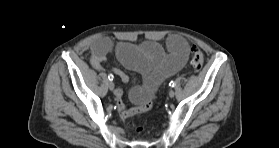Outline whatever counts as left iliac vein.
I'll use <instances>...</instances> for the list:
<instances>
[{
	"label": "left iliac vein",
	"instance_id": "1",
	"mask_svg": "<svg viewBox=\"0 0 279 148\" xmlns=\"http://www.w3.org/2000/svg\"><path fill=\"white\" fill-rule=\"evenodd\" d=\"M174 95H175L174 90H170V91H169V97H170V98H173Z\"/></svg>",
	"mask_w": 279,
	"mask_h": 148
}]
</instances>
